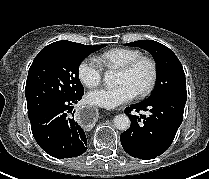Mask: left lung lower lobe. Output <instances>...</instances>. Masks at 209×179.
Returning <instances> with one entry per match:
<instances>
[{"mask_svg":"<svg viewBox=\"0 0 209 179\" xmlns=\"http://www.w3.org/2000/svg\"><path fill=\"white\" fill-rule=\"evenodd\" d=\"M187 92H175L155 100L142 101L125 109L131 127L120 136L123 149L132 157L153 159L172 144L182 123ZM148 111L149 115H131V111Z\"/></svg>","mask_w":209,"mask_h":179,"instance_id":"obj_1","label":"left lung lower lobe"}]
</instances>
